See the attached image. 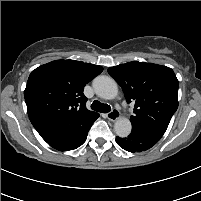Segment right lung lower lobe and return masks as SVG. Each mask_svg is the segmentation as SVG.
Listing matches in <instances>:
<instances>
[{
	"instance_id": "1",
	"label": "right lung lower lobe",
	"mask_w": 201,
	"mask_h": 201,
	"mask_svg": "<svg viewBox=\"0 0 201 201\" xmlns=\"http://www.w3.org/2000/svg\"><path fill=\"white\" fill-rule=\"evenodd\" d=\"M91 125L81 133L66 136L42 137L51 147L60 151H69L81 146L86 138Z\"/></svg>"
}]
</instances>
